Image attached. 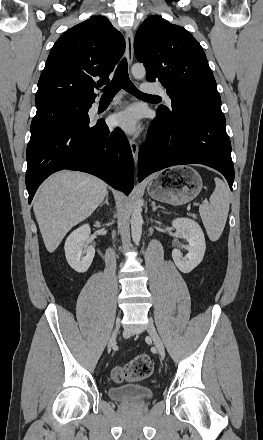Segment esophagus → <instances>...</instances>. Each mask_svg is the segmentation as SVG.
I'll list each match as a JSON object with an SVG mask.
<instances>
[{"instance_id": "obj_1", "label": "esophagus", "mask_w": 263, "mask_h": 440, "mask_svg": "<svg viewBox=\"0 0 263 440\" xmlns=\"http://www.w3.org/2000/svg\"><path fill=\"white\" fill-rule=\"evenodd\" d=\"M125 40H126V57L128 64L131 65L133 62V55H134V46H133L134 36L131 29H128L126 31ZM129 143H130L133 159L136 164L138 160V152H139L138 143L133 138L129 139Z\"/></svg>"}]
</instances>
